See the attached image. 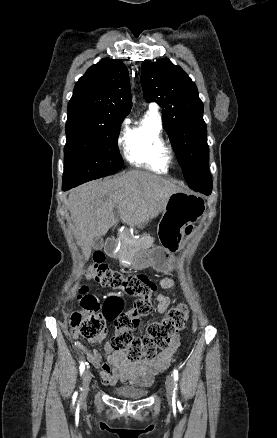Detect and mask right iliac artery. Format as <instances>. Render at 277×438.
<instances>
[{
	"label": "right iliac artery",
	"mask_w": 277,
	"mask_h": 438,
	"mask_svg": "<svg viewBox=\"0 0 277 438\" xmlns=\"http://www.w3.org/2000/svg\"><path fill=\"white\" fill-rule=\"evenodd\" d=\"M84 369H85V364H84V362H81L80 367H79L81 374L83 373ZM75 396H77V393L75 394Z\"/></svg>",
	"instance_id": "right-iliac-artery-1"
}]
</instances>
